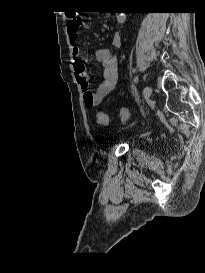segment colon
<instances>
[{
    "label": "colon",
    "mask_w": 205,
    "mask_h": 273,
    "mask_svg": "<svg viewBox=\"0 0 205 273\" xmlns=\"http://www.w3.org/2000/svg\"><path fill=\"white\" fill-rule=\"evenodd\" d=\"M82 21L79 20L78 24L76 25V27L78 28H81L82 27ZM130 116H131V112L129 109L127 108H121L119 110V118L122 120V121H127L130 119ZM97 122L101 125H108L111 121V118L109 115L107 114H104V113H97Z\"/></svg>",
    "instance_id": "1"
}]
</instances>
